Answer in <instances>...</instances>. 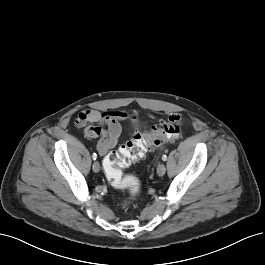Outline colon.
<instances>
[{
	"mask_svg": "<svg viewBox=\"0 0 265 265\" xmlns=\"http://www.w3.org/2000/svg\"><path fill=\"white\" fill-rule=\"evenodd\" d=\"M180 133L181 125L178 119L159 122L147 135L136 133L118 151L109 153L104 159V171L108 182L115 189L128 190L132 196L139 195L140 180L134 175H124L123 169L141 158L148 149L156 147L164 140L176 138Z\"/></svg>",
	"mask_w": 265,
	"mask_h": 265,
	"instance_id": "obj_1",
	"label": "colon"
}]
</instances>
